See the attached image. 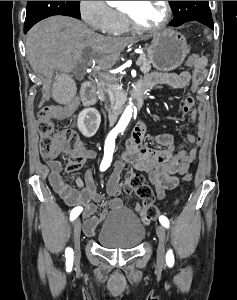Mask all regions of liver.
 I'll return each instance as SVG.
<instances>
[{"label":"liver","mask_w":237,"mask_h":300,"mask_svg":"<svg viewBox=\"0 0 237 300\" xmlns=\"http://www.w3.org/2000/svg\"><path fill=\"white\" fill-rule=\"evenodd\" d=\"M136 37H102L72 17H49L26 35L28 61L35 73L49 77L53 71L74 73L85 49L98 55L97 63L111 69L128 43ZM49 97L48 89H45Z\"/></svg>","instance_id":"obj_1"}]
</instances>
